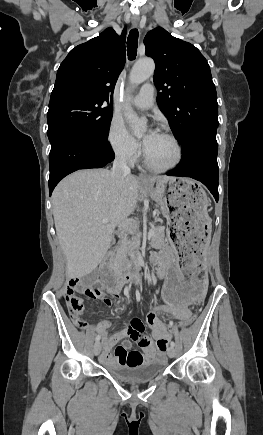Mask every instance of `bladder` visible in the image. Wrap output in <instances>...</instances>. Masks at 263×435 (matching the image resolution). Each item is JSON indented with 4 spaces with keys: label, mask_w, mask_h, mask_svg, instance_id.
<instances>
[{
    "label": "bladder",
    "mask_w": 263,
    "mask_h": 435,
    "mask_svg": "<svg viewBox=\"0 0 263 435\" xmlns=\"http://www.w3.org/2000/svg\"><path fill=\"white\" fill-rule=\"evenodd\" d=\"M166 367L164 359H154L137 365L112 364L107 370L116 378L128 382H146L159 376Z\"/></svg>",
    "instance_id": "obj_1"
}]
</instances>
